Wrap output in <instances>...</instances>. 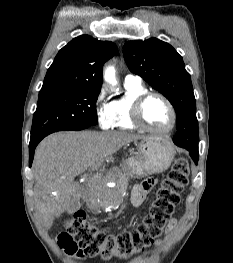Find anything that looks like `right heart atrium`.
Wrapping results in <instances>:
<instances>
[{"instance_id":"1","label":"right heart atrium","mask_w":233,"mask_h":263,"mask_svg":"<svg viewBox=\"0 0 233 263\" xmlns=\"http://www.w3.org/2000/svg\"><path fill=\"white\" fill-rule=\"evenodd\" d=\"M95 113L99 126L103 130H110L114 127V115L111 102L108 100L107 91L102 87L95 99Z\"/></svg>"}]
</instances>
